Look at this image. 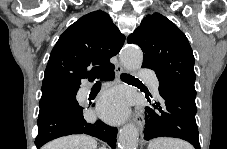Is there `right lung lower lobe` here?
Returning a JSON list of instances; mask_svg holds the SVG:
<instances>
[{
	"instance_id": "obj_1",
	"label": "right lung lower lobe",
	"mask_w": 227,
	"mask_h": 149,
	"mask_svg": "<svg viewBox=\"0 0 227 149\" xmlns=\"http://www.w3.org/2000/svg\"><path fill=\"white\" fill-rule=\"evenodd\" d=\"M114 77V66H112L104 73L102 79L107 81L113 80ZM83 112L84 109L81 106H60L39 116L38 135L35 139L37 148L58 137L84 133L103 140L115 149L117 128L110 127L101 120L89 124L84 120Z\"/></svg>"
}]
</instances>
